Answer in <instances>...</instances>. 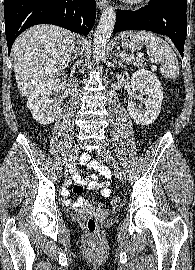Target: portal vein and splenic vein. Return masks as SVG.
<instances>
[{"label": "portal vein and splenic vein", "mask_w": 195, "mask_h": 270, "mask_svg": "<svg viewBox=\"0 0 195 270\" xmlns=\"http://www.w3.org/2000/svg\"><path fill=\"white\" fill-rule=\"evenodd\" d=\"M119 56L121 57V58H124L125 57V54L124 53H119ZM138 57L139 58H142L143 57V54H138Z\"/></svg>", "instance_id": "portal-vein-and-splenic-vein-1"}]
</instances>
